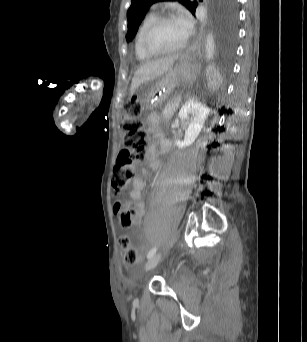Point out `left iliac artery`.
<instances>
[{
    "label": "left iliac artery",
    "instance_id": "1",
    "mask_svg": "<svg viewBox=\"0 0 307 342\" xmlns=\"http://www.w3.org/2000/svg\"><path fill=\"white\" fill-rule=\"evenodd\" d=\"M157 251V246L153 247L147 254V258H151Z\"/></svg>",
    "mask_w": 307,
    "mask_h": 342
}]
</instances>
